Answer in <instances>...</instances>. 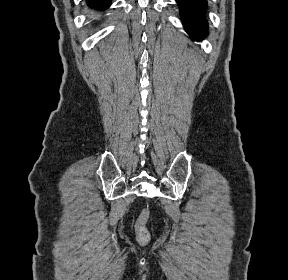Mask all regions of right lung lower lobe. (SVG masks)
Masks as SVG:
<instances>
[{
  "label": "right lung lower lobe",
  "instance_id": "obj_1",
  "mask_svg": "<svg viewBox=\"0 0 288 280\" xmlns=\"http://www.w3.org/2000/svg\"><path fill=\"white\" fill-rule=\"evenodd\" d=\"M88 4L96 9L108 8L111 0H87Z\"/></svg>",
  "mask_w": 288,
  "mask_h": 280
}]
</instances>
